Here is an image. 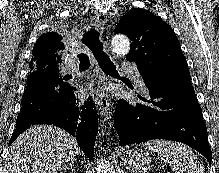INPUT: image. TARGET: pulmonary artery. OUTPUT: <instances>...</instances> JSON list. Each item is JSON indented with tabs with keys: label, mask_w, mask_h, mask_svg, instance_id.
<instances>
[{
	"label": "pulmonary artery",
	"mask_w": 219,
	"mask_h": 173,
	"mask_svg": "<svg viewBox=\"0 0 219 173\" xmlns=\"http://www.w3.org/2000/svg\"><path fill=\"white\" fill-rule=\"evenodd\" d=\"M122 67L124 70H127L131 73L132 79L135 82L142 84V82H143L142 76L135 66H133L130 63H124Z\"/></svg>",
	"instance_id": "pulmonary-artery-1"
}]
</instances>
